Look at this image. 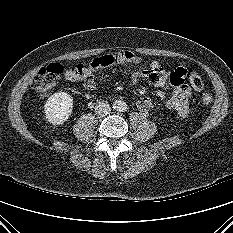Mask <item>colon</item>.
Listing matches in <instances>:
<instances>
[{
	"instance_id": "colon-1",
	"label": "colon",
	"mask_w": 233,
	"mask_h": 233,
	"mask_svg": "<svg viewBox=\"0 0 233 233\" xmlns=\"http://www.w3.org/2000/svg\"><path fill=\"white\" fill-rule=\"evenodd\" d=\"M103 62L104 60L100 56L88 64H78L68 70L66 76L71 80H85L92 76ZM63 73L64 67L59 63H53L43 67L32 80V88L38 95L47 96L56 85L59 76ZM186 79L194 89L200 90L202 88V80L197 73L187 72ZM201 102L206 106L210 105L212 96L209 93H203Z\"/></svg>"
}]
</instances>
